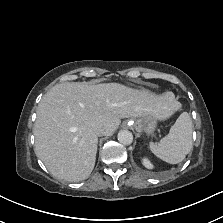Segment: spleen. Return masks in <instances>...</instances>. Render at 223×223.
<instances>
[{
	"mask_svg": "<svg viewBox=\"0 0 223 223\" xmlns=\"http://www.w3.org/2000/svg\"><path fill=\"white\" fill-rule=\"evenodd\" d=\"M192 131V119L187 112H183L169 133L158 143L150 142L149 148L159 159L169 164H178L192 149Z\"/></svg>",
	"mask_w": 223,
	"mask_h": 223,
	"instance_id": "obj_1",
	"label": "spleen"
}]
</instances>
